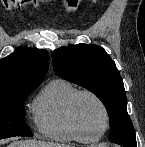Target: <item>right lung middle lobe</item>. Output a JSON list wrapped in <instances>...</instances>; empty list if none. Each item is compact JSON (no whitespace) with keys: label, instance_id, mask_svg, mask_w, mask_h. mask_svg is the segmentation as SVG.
I'll list each match as a JSON object with an SVG mask.
<instances>
[{"label":"right lung middle lobe","instance_id":"right-lung-middle-lobe-1","mask_svg":"<svg viewBox=\"0 0 145 147\" xmlns=\"http://www.w3.org/2000/svg\"><path fill=\"white\" fill-rule=\"evenodd\" d=\"M38 86H25L0 92V139L32 136L25 122L24 102Z\"/></svg>","mask_w":145,"mask_h":147}]
</instances>
